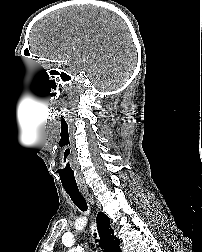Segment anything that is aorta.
<instances>
[{
	"instance_id": "obj_1",
	"label": "aorta",
	"mask_w": 202,
	"mask_h": 252,
	"mask_svg": "<svg viewBox=\"0 0 202 252\" xmlns=\"http://www.w3.org/2000/svg\"><path fill=\"white\" fill-rule=\"evenodd\" d=\"M68 252H82V251L79 247H77V248L69 249Z\"/></svg>"
}]
</instances>
